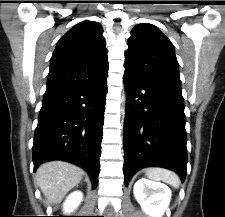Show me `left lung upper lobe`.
<instances>
[{
    "mask_svg": "<svg viewBox=\"0 0 225 217\" xmlns=\"http://www.w3.org/2000/svg\"><path fill=\"white\" fill-rule=\"evenodd\" d=\"M125 72L147 82L181 88L174 46L154 25L141 23L131 31Z\"/></svg>",
    "mask_w": 225,
    "mask_h": 217,
    "instance_id": "left-lung-upper-lobe-1",
    "label": "left lung upper lobe"
}]
</instances>
